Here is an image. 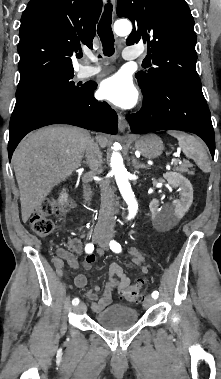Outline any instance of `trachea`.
<instances>
[{
    "mask_svg": "<svg viewBox=\"0 0 221 379\" xmlns=\"http://www.w3.org/2000/svg\"><path fill=\"white\" fill-rule=\"evenodd\" d=\"M111 24H112V4L107 3L105 5V10L102 14V17L97 27V33L102 42L103 53L105 56H112L115 52L114 35L112 32Z\"/></svg>",
    "mask_w": 221,
    "mask_h": 379,
    "instance_id": "trachea-1",
    "label": "trachea"
}]
</instances>
